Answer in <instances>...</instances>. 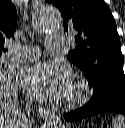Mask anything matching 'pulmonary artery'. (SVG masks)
<instances>
[{"mask_svg":"<svg viewBox=\"0 0 125 128\" xmlns=\"http://www.w3.org/2000/svg\"><path fill=\"white\" fill-rule=\"evenodd\" d=\"M64 38L60 34L49 35L46 39V48L49 51H58L63 46ZM13 54L10 59L14 63L31 62L39 58L40 49L36 46H11Z\"/></svg>","mask_w":125,"mask_h":128,"instance_id":"obj_1","label":"pulmonary artery"}]
</instances>
